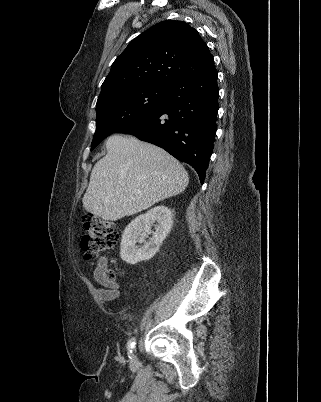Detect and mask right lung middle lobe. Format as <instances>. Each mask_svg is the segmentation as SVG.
<instances>
[{
  "label": "right lung middle lobe",
  "mask_w": 321,
  "mask_h": 402,
  "mask_svg": "<svg viewBox=\"0 0 321 402\" xmlns=\"http://www.w3.org/2000/svg\"><path fill=\"white\" fill-rule=\"evenodd\" d=\"M166 96V87L147 86L118 92L96 104V131L93 150L103 139L157 109Z\"/></svg>",
  "instance_id": "1"
}]
</instances>
